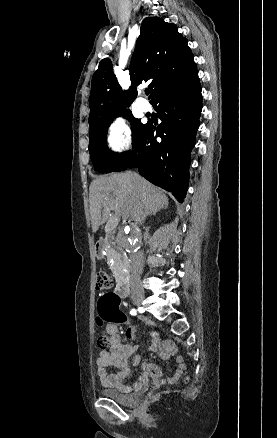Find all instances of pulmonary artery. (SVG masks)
I'll return each instance as SVG.
<instances>
[{"instance_id":"pulmonary-artery-1","label":"pulmonary artery","mask_w":277,"mask_h":438,"mask_svg":"<svg viewBox=\"0 0 277 438\" xmlns=\"http://www.w3.org/2000/svg\"><path fill=\"white\" fill-rule=\"evenodd\" d=\"M138 105L140 106L143 112H146L148 110V105L144 99H140L138 101Z\"/></svg>"}]
</instances>
